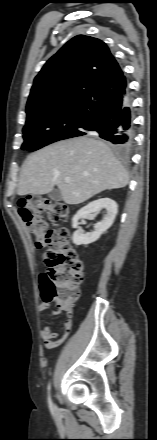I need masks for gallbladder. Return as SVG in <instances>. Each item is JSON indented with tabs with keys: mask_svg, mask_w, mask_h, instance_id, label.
<instances>
[{
	"mask_svg": "<svg viewBox=\"0 0 157 440\" xmlns=\"http://www.w3.org/2000/svg\"><path fill=\"white\" fill-rule=\"evenodd\" d=\"M48 197H49L51 200H54V201H60V200L62 199L61 193H60V191H59L58 189H53V190L48 194Z\"/></svg>",
	"mask_w": 157,
	"mask_h": 440,
	"instance_id": "obj_1",
	"label": "gallbladder"
}]
</instances>
